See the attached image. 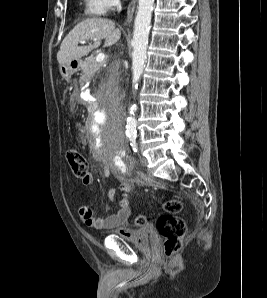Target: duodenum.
<instances>
[{"label":"duodenum","instance_id":"duodenum-1","mask_svg":"<svg viewBox=\"0 0 267 298\" xmlns=\"http://www.w3.org/2000/svg\"><path fill=\"white\" fill-rule=\"evenodd\" d=\"M99 93H92L91 100L86 101V109L87 115H96L97 107L95 105H99Z\"/></svg>","mask_w":267,"mask_h":298}]
</instances>
